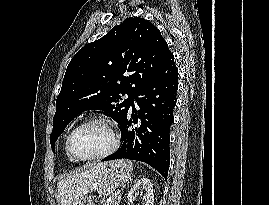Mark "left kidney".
Returning <instances> with one entry per match:
<instances>
[{
    "mask_svg": "<svg viewBox=\"0 0 269 205\" xmlns=\"http://www.w3.org/2000/svg\"><path fill=\"white\" fill-rule=\"evenodd\" d=\"M143 193V205H153L154 202V194H153V186L148 178H142L138 180L134 186L130 189L128 193V200L132 202L135 195L138 193Z\"/></svg>",
    "mask_w": 269,
    "mask_h": 205,
    "instance_id": "5707ae66",
    "label": "left kidney"
}]
</instances>
